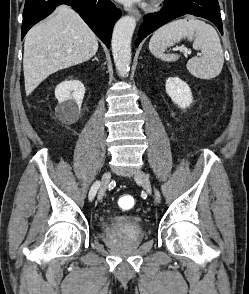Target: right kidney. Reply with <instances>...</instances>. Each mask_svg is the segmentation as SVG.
<instances>
[{"label": "right kidney", "instance_id": "1", "mask_svg": "<svg viewBox=\"0 0 249 294\" xmlns=\"http://www.w3.org/2000/svg\"><path fill=\"white\" fill-rule=\"evenodd\" d=\"M85 87L79 80H65L55 88V97L58 100L56 113L63 122H75L80 114L84 99Z\"/></svg>", "mask_w": 249, "mask_h": 294}]
</instances>
